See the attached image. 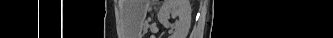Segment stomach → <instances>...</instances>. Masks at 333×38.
Masks as SVG:
<instances>
[{
	"mask_svg": "<svg viewBox=\"0 0 333 38\" xmlns=\"http://www.w3.org/2000/svg\"><path fill=\"white\" fill-rule=\"evenodd\" d=\"M144 1L142 2V11H141V15H140V23L141 25H143L144 19H145V10L143 7Z\"/></svg>",
	"mask_w": 333,
	"mask_h": 38,
	"instance_id": "obj_1",
	"label": "stomach"
}]
</instances>
